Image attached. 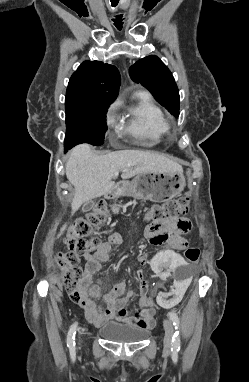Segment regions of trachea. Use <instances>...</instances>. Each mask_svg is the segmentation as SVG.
Wrapping results in <instances>:
<instances>
[{
  "label": "trachea",
  "mask_w": 249,
  "mask_h": 382,
  "mask_svg": "<svg viewBox=\"0 0 249 382\" xmlns=\"http://www.w3.org/2000/svg\"><path fill=\"white\" fill-rule=\"evenodd\" d=\"M118 1H119V0H115V2H112V1H111L112 6H113V7L117 6Z\"/></svg>",
  "instance_id": "3493384b"
}]
</instances>
